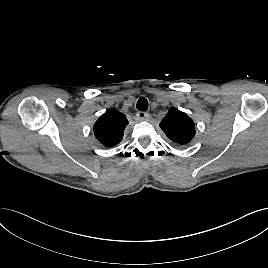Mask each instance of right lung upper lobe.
<instances>
[{"instance_id": "right-lung-upper-lobe-1", "label": "right lung upper lobe", "mask_w": 268, "mask_h": 268, "mask_svg": "<svg viewBox=\"0 0 268 268\" xmlns=\"http://www.w3.org/2000/svg\"><path fill=\"white\" fill-rule=\"evenodd\" d=\"M127 124L123 113L109 109L96 121L94 135L102 145L110 148L121 142Z\"/></svg>"}]
</instances>
